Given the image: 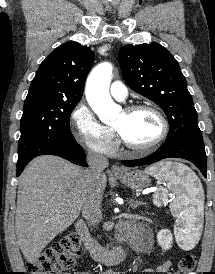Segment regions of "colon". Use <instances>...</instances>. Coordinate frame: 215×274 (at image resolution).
<instances>
[{
  "instance_id": "colon-1",
  "label": "colon",
  "mask_w": 215,
  "mask_h": 274,
  "mask_svg": "<svg viewBox=\"0 0 215 274\" xmlns=\"http://www.w3.org/2000/svg\"><path fill=\"white\" fill-rule=\"evenodd\" d=\"M79 248V236L70 233L46 249L35 262L28 264V270L31 274H61L62 270L73 266ZM195 266L196 256L187 253L181 257L176 273L192 274Z\"/></svg>"
}]
</instances>
